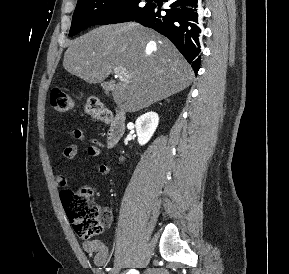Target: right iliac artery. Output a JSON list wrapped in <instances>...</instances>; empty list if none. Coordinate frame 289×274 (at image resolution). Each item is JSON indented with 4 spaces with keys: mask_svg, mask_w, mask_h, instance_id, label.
Returning a JSON list of instances; mask_svg holds the SVG:
<instances>
[{
    "mask_svg": "<svg viewBox=\"0 0 289 274\" xmlns=\"http://www.w3.org/2000/svg\"><path fill=\"white\" fill-rule=\"evenodd\" d=\"M111 268H107L106 270L109 271Z\"/></svg>",
    "mask_w": 289,
    "mask_h": 274,
    "instance_id": "1",
    "label": "right iliac artery"
}]
</instances>
